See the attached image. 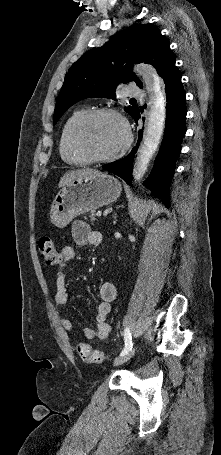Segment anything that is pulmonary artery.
<instances>
[{"mask_svg":"<svg viewBox=\"0 0 221 455\" xmlns=\"http://www.w3.org/2000/svg\"><path fill=\"white\" fill-rule=\"evenodd\" d=\"M126 94L128 96H131V97H140V96H144V92L142 89H140L139 87H137L136 85H133V84H130L127 88H126Z\"/></svg>","mask_w":221,"mask_h":455,"instance_id":"pulmonary-artery-1","label":"pulmonary artery"}]
</instances>
